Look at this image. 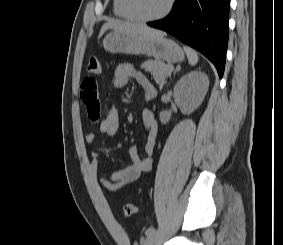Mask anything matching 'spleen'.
<instances>
[{
  "mask_svg": "<svg viewBox=\"0 0 283 245\" xmlns=\"http://www.w3.org/2000/svg\"><path fill=\"white\" fill-rule=\"evenodd\" d=\"M184 51L187 55L189 64L192 66L197 64L199 60L197 52L194 49L187 47V46L184 47Z\"/></svg>",
  "mask_w": 283,
  "mask_h": 245,
  "instance_id": "3e777b00",
  "label": "spleen"
}]
</instances>
